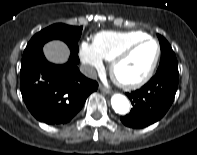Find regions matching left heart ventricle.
<instances>
[{
    "label": "left heart ventricle",
    "mask_w": 197,
    "mask_h": 155,
    "mask_svg": "<svg viewBox=\"0 0 197 155\" xmlns=\"http://www.w3.org/2000/svg\"><path fill=\"white\" fill-rule=\"evenodd\" d=\"M156 53V45L146 42L139 46L117 68L118 76L125 81H135L144 76Z\"/></svg>",
    "instance_id": "obj_1"
}]
</instances>
